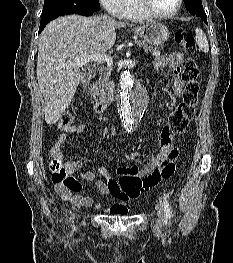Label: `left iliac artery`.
Returning a JSON list of instances; mask_svg holds the SVG:
<instances>
[{"mask_svg":"<svg viewBox=\"0 0 233 263\" xmlns=\"http://www.w3.org/2000/svg\"><path fill=\"white\" fill-rule=\"evenodd\" d=\"M163 204H164V223L167 224L169 219L171 218L170 204L165 198L163 199Z\"/></svg>","mask_w":233,"mask_h":263,"instance_id":"1","label":"left iliac artery"}]
</instances>
